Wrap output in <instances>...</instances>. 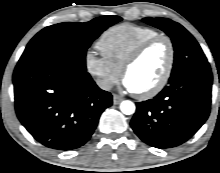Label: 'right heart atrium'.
<instances>
[{
	"label": "right heart atrium",
	"instance_id": "d8ad5b80",
	"mask_svg": "<svg viewBox=\"0 0 220 173\" xmlns=\"http://www.w3.org/2000/svg\"><path fill=\"white\" fill-rule=\"evenodd\" d=\"M86 71L103 90H110L120 79L121 71L104 57L87 51L84 59Z\"/></svg>",
	"mask_w": 220,
	"mask_h": 173
}]
</instances>
